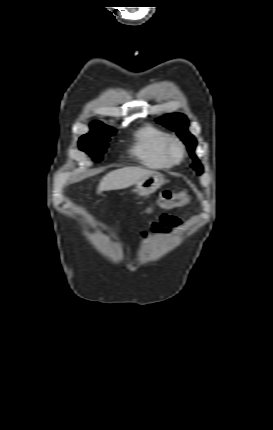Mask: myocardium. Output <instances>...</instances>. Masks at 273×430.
<instances>
[{"instance_id": "obj_1", "label": "myocardium", "mask_w": 273, "mask_h": 430, "mask_svg": "<svg viewBox=\"0 0 273 430\" xmlns=\"http://www.w3.org/2000/svg\"><path fill=\"white\" fill-rule=\"evenodd\" d=\"M165 155L172 164L180 163L186 155L183 142L177 137H171L165 145Z\"/></svg>"}]
</instances>
